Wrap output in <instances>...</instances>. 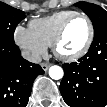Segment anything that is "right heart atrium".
Wrapping results in <instances>:
<instances>
[{
    "mask_svg": "<svg viewBox=\"0 0 107 107\" xmlns=\"http://www.w3.org/2000/svg\"><path fill=\"white\" fill-rule=\"evenodd\" d=\"M16 43L32 60H39L47 52V46L31 31L30 28L17 26L14 32Z\"/></svg>",
    "mask_w": 107,
    "mask_h": 107,
    "instance_id": "1",
    "label": "right heart atrium"
}]
</instances>
